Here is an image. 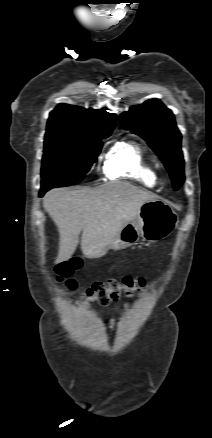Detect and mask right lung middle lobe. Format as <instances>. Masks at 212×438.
<instances>
[{"label":"right lung middle lobe","instance_id":"dd1d6c3e","mask_svg":"<svg viewBox=\"0 0 212 438\" xmlns=\"http://www.w3.org/2000/svg\"><path fill=\"white\" fill-rule=\"evenodd\" d=\"M109 135L74 137L45 135L41 187H64L79 183L101 152Z\"/></svg>","mask_w":212,"mask_h":438}]
</instances>
